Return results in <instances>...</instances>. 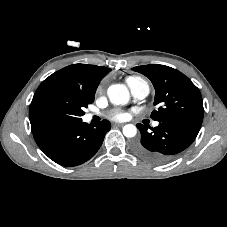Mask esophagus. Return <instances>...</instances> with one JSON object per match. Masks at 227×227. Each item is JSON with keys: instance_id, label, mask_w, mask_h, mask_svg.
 <instances>
[{"instance_id": "obj_1", "label": "esophagus", "mask_w": 227, "mask_h": 227, "mask_svg": "<svg viewBox=\"0 0 227 227\" xmlns=\"http://www.w3.org/2000/svg\"><path fill=\"white\" fill-rule=\"evenodd\" d=\"M124 124L123 123H116L115 126L122 127Z\"/></svg>"}]
</instances>
